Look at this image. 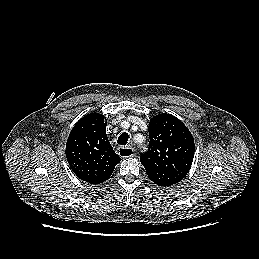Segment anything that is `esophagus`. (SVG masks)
Masks as SVG:
<instances>
[{"label": "esophagus", "instance_id": "34e87169", "mask_svg": "<svg viewBox=\"0 0 259 259\" xmlns=\"http://www.w3.org/2000/svg\"><path fill=\"white\" fill-rule=\"evenodd\" d=\"M118 154L122 158H130L134 156V149L132 147H120L118 149Z\"/></svg>", "mask_w": 259, "mask_h": 259}]
</instances>
